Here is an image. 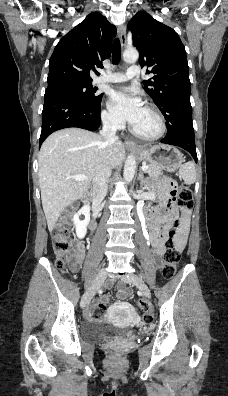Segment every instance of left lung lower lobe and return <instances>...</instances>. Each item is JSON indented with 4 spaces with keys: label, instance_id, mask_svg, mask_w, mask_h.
Segmentation results:
<instances>
[{
    "label": "left lung lower lobe",
    "instance_id": "left-lung-lower-lobe-1",
    "mask_svg": "<svg viewBox=\"0 0 228 396\" xmlns=\"http://www.w3.org/2000/svg\"><path fill=\"white\" fill-rule=\"evenodd\" d=\"M177 101L182 104L179 113H176L174 110V105ZM160 111L164 115L168 127L165 138L160 142L176 145L187 150L197 162L190 96L183 95L174 98L161 108Z\"/></svg>",
    "mask_w": 228,
    "mask_h": 396
}]
</instances>
